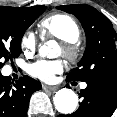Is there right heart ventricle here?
Returning a JSON list of instances; mask_svg holds the SVG:
<instances>
[{"label": "right heart ventricle", "instance_id": "e07e8e85", "mask_svg": "<svg viewBox=\"0 0 117 117\" xmlns=\"http://www.w3.org/2000/svg\"><path fill=\"white\" fill-rule=\"evenodd\" d=\"M39 28L43 37H55L66 42H76L80 38V28L76 20L63 13L45 17Z\"/></svg>", "mask_w": 117, "mask_h": 117}]
</instances>
